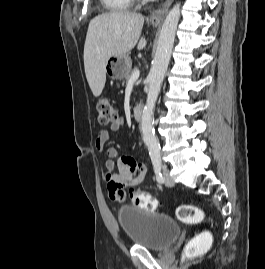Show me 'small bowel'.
<instances>
[{"mask_svg":"<svg viewBox=\"0 0 265 269\" xmlns=\"http://www.w3.org/2000/svg\"><path fill=\"white\" fill-rule=\"evenodd\" d=\"M124 126L122 118L110 125L109 129L101 130L95 140L98 151L105 152L108 159L105 161L107 188L112 201L122 203L126 198V189L138 186L144 180L146 165L135 158L122 155L114 147H106L110 133L119 132Z\"/></svg>","mask_w":265,"mask_h":269,"instance_id":"small-bowel-1","label":"small bowel"}]
</instances>
